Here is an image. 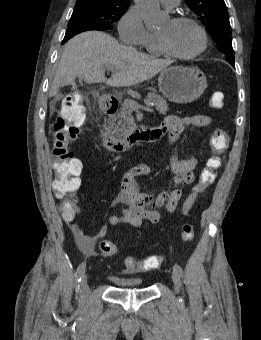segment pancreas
<instances>
[{
	"mask_svg": "<svg viewBox=\"0 0 261 340\" xmlns=\"http://www.w3.org/2000/svg\"><path fill=\"white\" fill-rule=\"evenodd\" d=\"M146 99L155 105L159 114L166 115L169 108L168 103L163 97L152 90L151 93H148ZM132 112L133 109L129 106L128 100H125L120 112L115 117V120H117L115 124V135L117 138H126L136 128Z\"/></svg>",
	"mask_w": 261,
	"mask_h": 340,
	"instance_id": "obj_1",
	"label": "pancreas"
}]
</instances>
